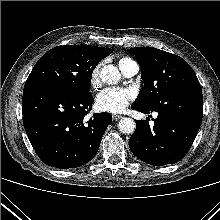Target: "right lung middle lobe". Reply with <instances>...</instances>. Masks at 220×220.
<instances>
[{
    "label": "right lung middle lobe",
    "mask_w": 220,
    "mask_h": 220,
    "mask_svg": "<svg viewBox=\"0 0 220 220\" xmlns=\"http://www.w3.org/2000/svg\"><path fill=\"white\" fill-rule=\"evenodd\" d=\"M102 59L84 45L52 48L35 64L24 88L46 86L88 94L93 70Z\"/></svg>",
    "instance_id": "dd1d6c3e"
}]
</instances>
